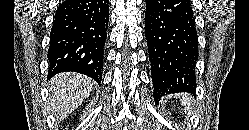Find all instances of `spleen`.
<instances>
[{"label": "spleen", "mask_w": 249, "mask_h": 130, "mask_svg": "<svg viewBox=\"0 0 249 130\" xmlns=\"http://www.w3.org/2000/svg\"><path fill=\"white\" fill-rule=\"evenodd\" d=\"M181 103L184 106V110L186 113H190L192 111L191 104L192 98L188 94H184L181 96Z\"/></svg>", "instance_id": "3e777b00"}]
</instances>
